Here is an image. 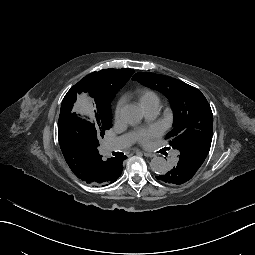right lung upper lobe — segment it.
Wrapping results in <instances>:
<instances>
[{
    "mask_svg": "<svg viewBox=\"0 0 255 255\" xmlns=\"http://www.w3.org/2000/svg\"><path fill=\"white\" fill-rule=\"evenodd\" d=\"M133 73L134 70L125 68L90 73L68 91L62 103L72 106L73 110L78 100L85 110L91 109L96 115L100 109L111 107L116 93ZM61 150L72 172L79 179L95 186H107L115 182L122 173V162L126 158L112 157L106 160L97 148L76 151L74 148L61 147ZM93 172L98 174L96 179L91 177Z\"/></svg>",
    "mask_w": 255,
    "mask_h": 255,
    "instance_id": "obj_1",
    "label": "right lung upper lobe"
}]
</instances>
